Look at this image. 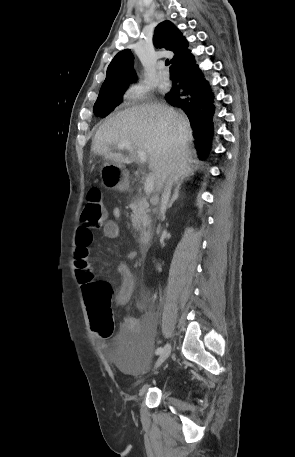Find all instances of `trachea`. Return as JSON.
<instances>
[{"mask_svg":"<svg viewBox=\"0 0 295 457\" xmlns=\"http://www.w3.org/2000/svg\"><path fill=\"white\" fill-rule=\"evenodd\" d=\"M165 64H166V66H169V65H170V61L167 59V60H166V62H165ZM170 69L172 70V69H173V67H172V66H170Z\"/></svg>","mask_w":295,"mask_h":457,"instance_id":"obj_1","label":"trachea"}]
</instances>
